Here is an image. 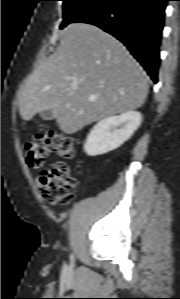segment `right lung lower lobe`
Segmentation results:
<instances>
[{
  "mask_svg": "<svg viewBox=\"0 0 180 299\" xmlns=\"http://www.w3.org/2000/svg\"><path fill=\"white\" fill-rule=\"evenodd\" d=\"M168 0H103L74 22L96 25L120 40L154 83Z\"/></svg>",
  "mask_w": 180,
  "mask_h": 299,
  "instance_id": "right-lung-lower-lobe-1",
  "label": "right lung lower lobe"
}]
</instances>
